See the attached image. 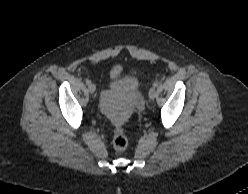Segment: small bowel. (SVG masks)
<instances>
[{"label": "small bowel", "instance_id": "c3829d8e", "mask_svg": "<svg viewBox=\"0 0 248 194\" xmlns=\"http://www.w3.org/2000/svg\"><path fill=\"white\" fill-rule=\"evenodd\" d=\"M122 74V67L120 65H117L112 70V77L113 78H119Z\"/></svg>", "mask_w": 248, "mask_h": 194}]
</instances>
